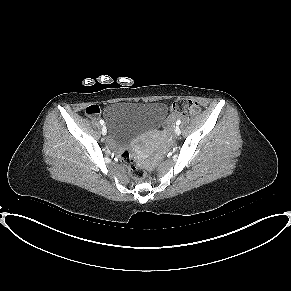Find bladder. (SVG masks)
<instances>
[{"mask_svg": "<svg viewBox=\"0 0 291 291\" xmlns=\"http://www.w3.org/2000/svg\"><path fill=\"white\" fill-rule=\"evenodd\" d=\"M167 106L161 102H112L104 110L109 137L126 145L146 131L158 128L167 117Z\"/></svg>", "mask_w": 291, "mask_h": 291, "instance_id": "31cf9c89", "label": "bladder"}]
</instances>
